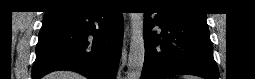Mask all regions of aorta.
<instances>
[{
  "mask_svg": "<svg viewBox=\"0 0 255 79\" xmlns=\"http://www.w3.org/2000/svg\"><path fill=\"white\" fill-rule=\"evenodd\" d=\"M131 42L128 55V79H140L145 57L143 14L131 13Z\"/></svg>",
  "mask_w": 255,
  "mask_h": 79,
  "instance_id": "1",
  "label": "aorta"
}]
</instances>
